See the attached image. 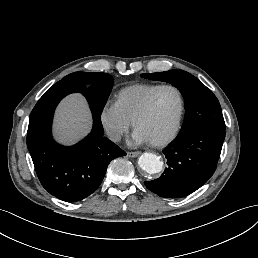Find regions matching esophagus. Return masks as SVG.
I'll return each instance as SVG.
<instances>
[{"instance_id":"obj_1","label":"esophagus","mask_w":258,"mask_h":258,"mask_svg":"<svg viewBox=\"0 0 258 258\" xmlns=\"http://www.w3.org/2000/svg\"><path fill=\"white\" fill-rule=\"evenodd\" d=\"M140 154H141L140 151L128 152V153H127V156H128V157H136V156H139Z\"/></svg>"}]
</instances>
